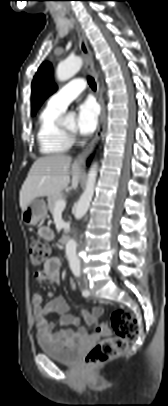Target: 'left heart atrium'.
Listing matches in <instances>:
<instances>
[{
    "mask_svg": "<svg viewBox=\"0 0 168 406\" xmlns=\"http://www.w3.org/2000/svg\"><path fill=\"white\" fill-rule=\"evenodd\" d=\"M98 124V110L91 101L81 103L77 108L76 129L82 135H91Z\"/></svg>",
    "mask_w": 168,
    "mask_h": 406,
    "instance_id": "1",
    "label": "left heart atrium"
}]
</instances>
